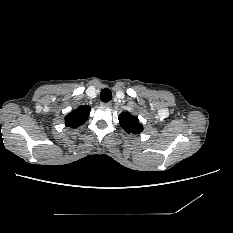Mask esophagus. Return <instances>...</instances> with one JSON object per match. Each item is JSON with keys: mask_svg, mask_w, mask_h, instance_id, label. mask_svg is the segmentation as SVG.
Returning <instances> with one entry per match:
<instances>
[{"mask_svg": "<svg viewBox=\"0 0 233 233\" xmlns=\"http://www.w3.org/2000/svg\"><path fill=\"white\" fill-rule=\"evenodd\" d=\"M101 105L104 107H111L112 103L111 102H101Z\"/></svg>", "mask_w": 233, "mask_h": 233, "instance_id": "1", "label": "esophagus"}]
</instances>
